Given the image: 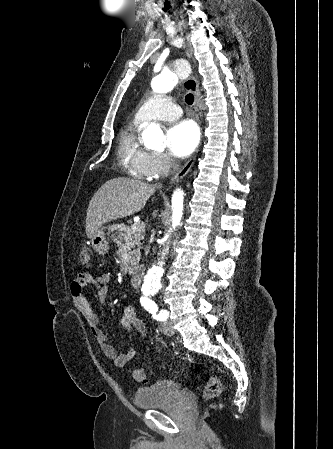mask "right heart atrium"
Wrapping results in <instances>:
<instances>
[{
    "label": "right heart atrium",
    "instance_id": "d8ad5b80",
    "mask_svg": "<svg viewBox=\"0 0 333 449\" xmlns=\"http://www.w3.org/2000/svg\"><path fill=\"white\" fill-rule=\"evenodd\" d=\"M147 168L150 178L163 177L172 172L174 161L166 153L151 152L147 156Z\"/></svg>",
    "mask_w": 333,
    "mask_h": 449
}]
</instances>
